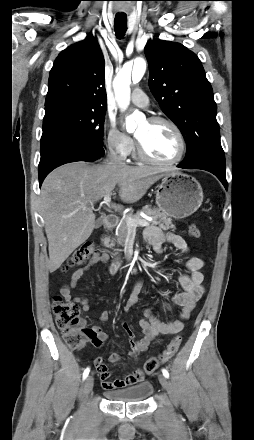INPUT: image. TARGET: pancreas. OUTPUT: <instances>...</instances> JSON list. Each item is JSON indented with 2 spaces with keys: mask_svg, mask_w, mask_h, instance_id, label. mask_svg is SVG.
I'll return each instance as SVG.
<instances>
[{
  "mask_svg": "<svg viewBox=\"0 0 254 440\" xmlns=\"http://www.w3.org/2000/svg\"><path fill=\"white\" fill-rule=\"evenodd\" d=\"M141 212L152 217V221L148 223H151L153 225H158L164 231H167L169 229H175V225L172 223L171 218H169L166 214L162 213L159 209L155 207L152 208L149 205L142 207V209L139 212L135 214H131L129 216L135 219H142L140 214ZM129 229L135 231L134 227H130L127 225L125 219H121L119 221L118 227L116 228L115 237L112 238L110 236L104 237L102 239L103 245L107 248L115 247L116 243L118 245H122L126 241L129 235Z\"/></svg>",
  "mask_w": 254,
  "mask_h": 440,
  "instance_id": "1",
  "label": "pancreas"
}]
</instances>
